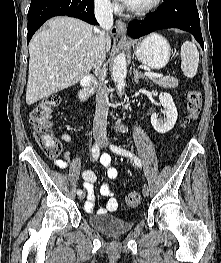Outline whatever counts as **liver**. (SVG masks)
Returning a JSON list of instances; mask_svg holds the SVG:
<instances>
[{
  "mask_svg": "<svg viewBox=\"0 0 221 263\" xmlns=\"http://www.w3.org/2000/svg\"><path fill=\"white\" fill-rule=\"evenodd\" d=\"M99 31L72 17H55L37 32L29 44V75L26 104L75 85L94 66ZM106 51L111 38L105 36Z\"/></svg>",
  "mask_w": 221,
  "mask_h": 263,
  "instance_id": "1",
  "label": "liver"
}]
</instances>
